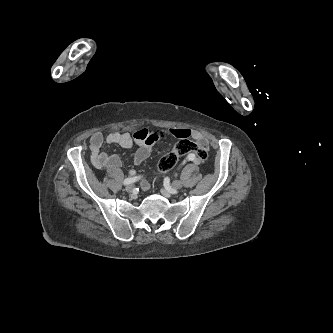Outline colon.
<instances>
[{
    "label": "colon",
    "instance_id": "colon-1",
    "mask_svg": "<svg viewBox=\"0 0 333 333\" xmlns=\"http://www.w3.org/2000/svg\"><path fill=\"white\" fill-rule=\"evenodd\" d=\"M189 154L195 156L196 163H203L208 157L207 149L198 146L188 138H183L175 145L173 151L161 158L158 165L159 171L162 174L171 171L177 164L179 157Z\"/></svg>",
    "mask_w": 333,
    "mask_h": 333
}]
</instances>
